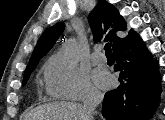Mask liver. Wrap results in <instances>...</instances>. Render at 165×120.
I'll return each mask as SVG.
<instances>
[{
    "mask_svg": "<svg viewBox=\"0 0 165 120\" xmlns=\"http://www.w3.org/2000/svg\"><path fill=\"white\" fill-rule=\"evenodd\" d=\"M83 105L75 102H54L33 109L25 120H83Z\"/></svg>",
    "mask_w": 165,
    "mask_h": 120,
    "instance_id": "6515ba94",
    "label": "liver"
}]
</instances>
